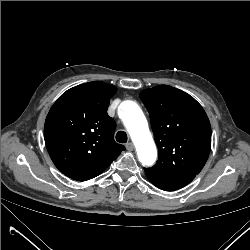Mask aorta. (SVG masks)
<instances>
[{"label":"aorta","instance_id":"762f6f07","mask_svg":"<svg viewBox=\"0 0 250 250\" xmlns=\"http://www.w3.org/2000/svg\"><path fill=\"white\" fill-rule=\"evenodd\" d=\"M122 106L130 114L125 117L124 123L135 144L139 161L143 165H153L157 150L142 110L133 101H125Z\"/></svg>","mask_w":250,"mask_h":250}]
</instances>
